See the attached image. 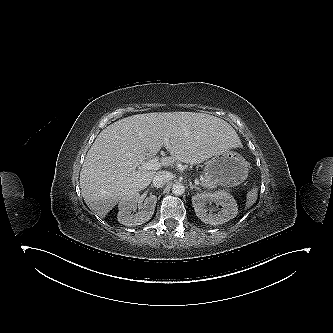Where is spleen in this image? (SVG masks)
I'll return each mask as SVG.
<instances>
[{
    "instance_id": "1",
    "label": "spleen",
    "mask_w": 333,
    "mask_h": 333,
    "mask_svg": "<svg viewBox=\"0 0 333 333\" xmlns=\"http://www.w3.org/2000/svg\"><path fill=\"white\" fill-rule=\"evenodd\" d=\"M257 192L258 188H253L247 193L245 209L250 208L256 202L258 196Z\"/></svg>"
}]
</instances>
